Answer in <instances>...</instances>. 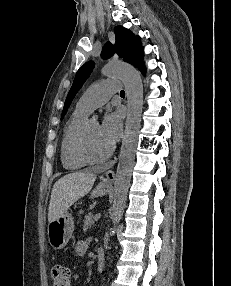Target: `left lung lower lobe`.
Listing matches in <instances>:
<instances>
[{
    "mask_svg": "<svg viewBox=\"0 0 231 286\" xmlns=\"http://www.w3.org/2000/svg\"><path fill=\"white\" fill-rule=\"evenodd\" d=\"M140 71H141L143 74H145V66H142V67L140 68Z\"/></svg>",
    "mask_w": 231,
    "mask_h": 286,
    "instance_id": "1",
    "label": "left lung lower lobe"
}]
</instances>
